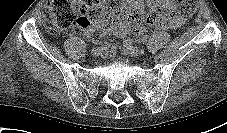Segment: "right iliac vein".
Instances as JSON below:
<instances>
[{"label":"right iliac vein","instance_id":"obj_1","mask_svg":"<svg viewBox=\"0 0 227 133\" xmlns=\"http://www.w3.org/2000/svg\"><path fill=\"white\" fill-rule=\"evenodd\" d=\"M91 52L93 56H99L100 54H102L103 49L99 47H94Z\"/></svg>","mask_w":227,"mask_h":133}]
</instances>
